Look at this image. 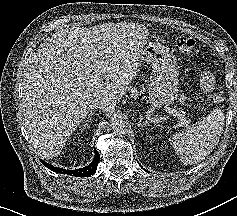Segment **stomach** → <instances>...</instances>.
<instances>
[{"instance_id":"1","label":"stomach","mask_w":237,"mask_h":216,"mask_svg":"<svg viewBox=\"0 0 237 216\" xmlns=\"http://www.w3.org/2000/svg\"><path fill=\"white\" fill-rule=\"evenodd\" d=\"M142 52L144 60L156 72L149 90L150 102L158 108L170 106L178 96V78L172 55L167 48L153 42H147Z\"/></svg>"}]
</instances>
